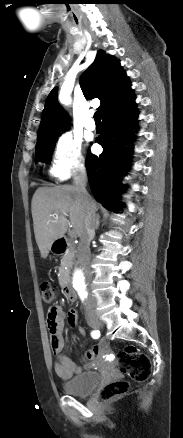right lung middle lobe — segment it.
I'll return each instance as SVG.
<instances>
[{"instance_id": "dd1d6c3e", "label": "right lung middle lobe", "mask_w": 183, "mask_h": 438, "mask_svg": "<svg viewBox=\"0 0 183 438\" xmlns=\"http://www.w3.org/2000/svg\"><path fill=\"white\" fill-rule=\"evenodd\" d=\"M58 134H51L37 138L35 158L36 161L46 162L50 160Z\"/></svg>"}]
</instances>
